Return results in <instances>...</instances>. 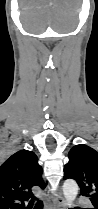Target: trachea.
<instances>
[{
	"label": "trachea",
	"instance_id": "1",
	"mask_svg": "<svg viewBox=\"0 0 98 209\" xmlns=\"http://www.w3.org/2000/svg\"><path fill=\"white\" fill-rule=\"evenodd\" d=\"M34 209H43V202L38 200Z\"/></svg>",
	"mask_w": 98,
	"mask_h": 209
}]
</instances>
